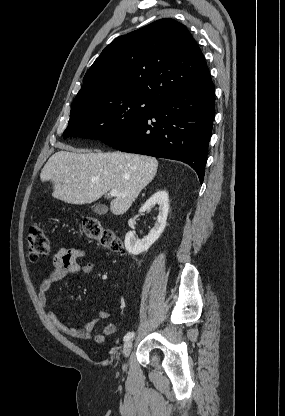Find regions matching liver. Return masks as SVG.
Returning a JSON list of instances; mask_svg holds the SVG:
<instances>
[{
	"instance_id": "6515ba94",
	"label": "liver",
	"mask_w": 285,
	"mask_h": 416,
	"mask_svg": "<svg viewBox=\"0 0 285 416\" xmlns=\"http://www.w3.org/2000/svg\"><path fill=\"white\" fill-rule=\"evenodd\" d=\"M66 152H56L46 162L41 182H53V198L67 204H92L109 190H117L110 210L115 216H122L141 190L154 180L158 162L150 156L138 154H87V150H73L72 146L56 144ZM77 152V154H76Z\"/></svg>"
}]
</instances>
